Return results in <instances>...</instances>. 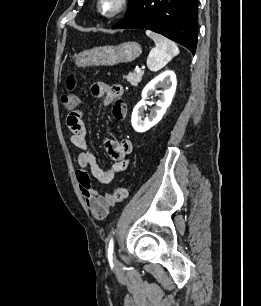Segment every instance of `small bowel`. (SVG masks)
I'll return each mask as SVG.
<instances>
[{
  "mask_svg": "<svg viewBox=\"0 0 261 306\" xmlns=\"http://www.w3.org/2000/svg\"><path fill=\"white\" fill-rule=\"evenodd\" d=\"M94 97H103L105 106L113 105V117L121 121L125 118L127 108L120 101L124 89L121 85H107L96 83L91 88ZM67 125L71 131L70 141L79 150L77 155L78 168L76 178L91 214L97 219H104L115 204L113 196L109 193H99L91 182V177L101 184H109L129 165V155L132 152V142L124 138L120 141L106 140V149L114 160L108 168H101L95 155L87 142V128L85 124V112L77 110L67 118Z\"/></svg>",
  "mask_w": 261,
  "mask_h": 306,
  "instance_id": "obj_1",
  "label": "small bowel"
}]
</instances>
